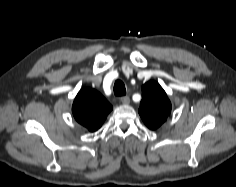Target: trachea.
<instances>
[{
  "instance_id": "3493384b",
  "label": "trachea",
  "mask_w": 236,
  "mask_h": 187,
  "mask_svg": "<svg viewBox=\"0 0 236 187\" xmlns=\"http://www.w3.org/2000/svg\"><path fill=\"white\" fill-rule=\"evenodd\" d=\"M114 94L116 96L126 95V88L124 83L121 80H117L114 84Z\"/></svg>"
}]
</instances>
